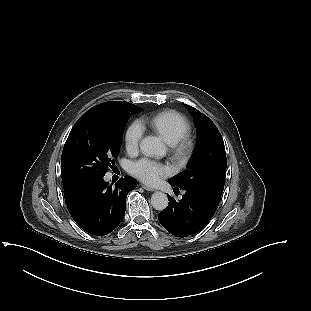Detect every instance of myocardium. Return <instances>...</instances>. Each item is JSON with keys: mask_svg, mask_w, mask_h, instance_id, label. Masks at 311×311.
Masks as SVG:
<instances>
[{"mask_svg": "<svg viewBox=\"0 0 311 311\" xmlns=\"http://www.w3.org/2000/svg\"><path fill=\"white\" fill-rule=\"evenodd\" d=\"M189 147H190V142L188 141V139L185 137H182L177 142L176 152L178 155L183 156V155L187 154Z\"/></svg>", "mask_w": 311, "mask_h": 311, "instance_id": "1", "label": "myocardium"}]
</instances>
